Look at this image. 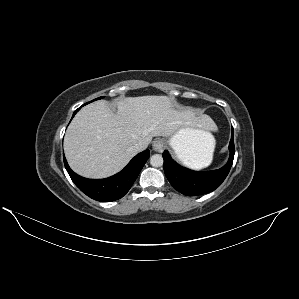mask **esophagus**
Here are the masks:
<instances>
[{"mask_svg": "<svg viewBox=\"0 0 299 299\" xmlns=\"http://www.w3.org/2000/svg\"><path fill=\"white\" fill-rule=\"evenodd\" d=\"M165 147V142L162 139H156L153 142V149L157 152H162Z\"/></svg>", "mask_w": 299, "mask_h": 299, "instance_id": "obj_1", "label": "esophagus"}]
</instances>
